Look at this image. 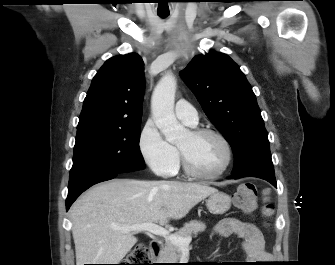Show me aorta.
<instances>
[{
  "mask_svg": "<svg viewBox=\"0 0 335 265\" xmlns=\"http://www.w3.org/2000/svg\"><path fill=\"white\" fill-rule=\"evenodd\" d=\"M176 85L175 77L166 73L155 87L151 99L153 120L170 143L179 140L185 132L174 114Z\"/></svg>",
  "mask_w": 335,
  "mask_h": 265,
  "instance_id": "1",
  "label": "aorta"
}]
</instances>
